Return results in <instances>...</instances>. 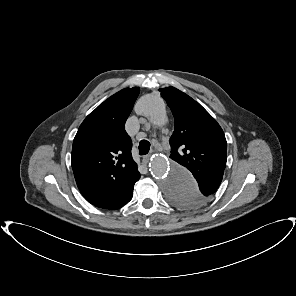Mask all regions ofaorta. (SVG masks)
I'll return each instance as SVG.
<instances>
[{
    "mask_svg": "<svg viewBox=\"0 0 296 296\" xmlns=\"http://www.w3.org/2000/svg\"><path fill=\"white\" fill-rule=\"evenodd\" d=\"M136 110L157 126L164 125L168 120L165 103L156 95L142 96L136 104ZM150 170L171 204L182 206L193 199L196 182L191 173L177 161L156 155L150 162Z\"/></svg>",
    "mask_w": 296,
    "mask_h": 296,
    "instance_id": "aorta-1",
    "label": "aorta"
}]
</instances>
